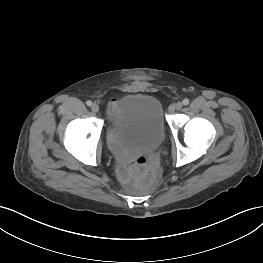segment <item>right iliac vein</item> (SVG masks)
<instances>
[{
	"mask_svg": "<svg viewBox=\"0 0 263 263\" xmlns=\"http://www.w3.org/2000/svg\"><path fill=\"white\" fill-rule=\"evenodd\" d=\"M91 110H92L94 113H97V112L99 111V106H98V104L93 103L92 106H91Z\"/></svg>",
	"mask_w": 263,
	"mask_h": 263,
	"instance_id": "right-iliac-vein-1",
	"label": "right iliac vein"
}]
</instances>
